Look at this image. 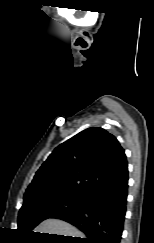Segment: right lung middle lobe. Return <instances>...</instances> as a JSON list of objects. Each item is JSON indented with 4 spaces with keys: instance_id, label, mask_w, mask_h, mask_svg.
<instances>
[{
    "instance_id": "dd1d6c3e",
    "label": "right lung middle lobe",
    "mask_w": 154,
    "mask_h": 243,
    "mask_svg": "<svg viewBox=\"0 0 154 243\" xmlns=\"http://www.w3.org/2000/svg\"><path fill=\"white\" fill-rule=\"evenodd\" d=\"M87 198L57 195L32 200L23 204L19 211L18 229L20 235H28L40 222L58 214L83 206Z\"/></svg>"
}]
</instances>
